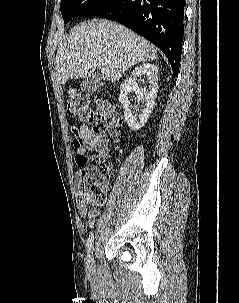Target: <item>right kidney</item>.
I'll return each instance as SVG.
<instances>
[{
	"label": "right kidney",
	"instance_id": "obj_1",
	"mask_svg": "<svg viewBox=\"0 0 239 303\" xmlns=\"http://www.w3.org/2000/svg\"><path fill=\"white\" fill-rule=\"evenodd\" d=\"M147 76L148 89L138 86L137 77ZM158 89V67L152 63H143L132 71L129 79L123 81L120 86L119 102L124 108V117L128 127L132 131L142 128L147 122L155 105V98ZM134 91L137 100L145 99V108L139 116L133 115L129 108L130 101L127 97L128 93Z\"/></svg>",
	"mask_w": 239,
	"mask_h": 303
}]
</instances>
